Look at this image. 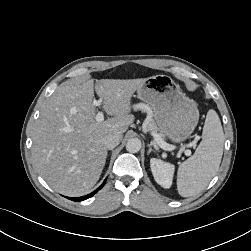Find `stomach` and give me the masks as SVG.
<instances>
[{
    "label": "stomach",
    "mask_w": 251,
    "mask_h": 251,
    "mask_svg": "<svg viewBox=\"0 0 251 251\" xmlns=\"http://www.w3.org/2000/svg\"><path fill=\"white\" fill-rule=\"evenodd\" d=\"M137 96L153 110V116L165 137L174 143L185 141L199 120L196 103L185 96L178 84L167 75L148 78L137 89Z\"/></svg>",
    "instance_id": "stomach-1"
}]
</instances>
